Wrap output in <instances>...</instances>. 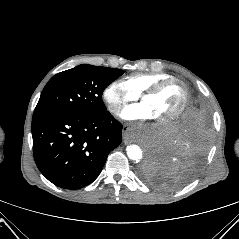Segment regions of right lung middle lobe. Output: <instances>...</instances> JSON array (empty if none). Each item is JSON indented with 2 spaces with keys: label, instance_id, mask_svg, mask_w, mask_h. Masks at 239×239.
I'll use <instances>...</instances> for the list:
<instances>
[{
  "label": "right lung middle lobe",
  "instance_id": "right-lung-middle-lobe-1",
  "mask_svg": "<svg viewBox=\"0 0 239 239\" xmlns=\"http://www.w3.org/2000/svg\"><path fill=\"white\" fill-rule=\"evenodd\" d=\"M123 73V70L87 64L60 72L44 87L34 114H102L107 111L102 101L104 89Z\"/></svg>",
  "mask_w": 239,
  "mask_h": 239
}]
</instances>
